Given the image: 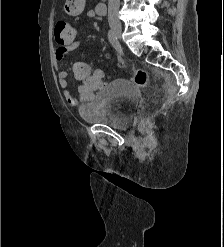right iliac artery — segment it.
<instances>
[{"label": "right iliac artery", "instance_id": "obj_1", "mask_svg": "<svg viewBox=\"0 0 224 247\" xmlns=\"http://www.w3.org/2000/svg\"><path fill=\"white\" fill-rule=\"evenodd\" d=\"M108 40L111 43V45L116 49V51L121 53V47L118 38L111 30H109L108 32Z\"/></svg>", "mask_w": 224, "mask_h": 247}]
</instances>
